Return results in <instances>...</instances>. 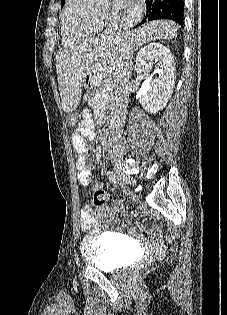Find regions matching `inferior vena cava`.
Masks as SVG:
<instances>
[{
	"label": "inferior vena cava",
	"instance_id": "inferior-vena-cava-1",
	"mask_svg": "<svg viewBox=\"0 0 227 315\" xmlns=\"http://www.w3.org/2000/svg\"><path fill=\"white\" fill-rule=\"evenodd\" d=\"M120 17L118 9L112 11L110 23L102 36L115 38L118 35L117 29ZM131 70L132 63L129 61V57L122 55L115 68L113 76V94L110 102V123L107 133L108 147L113 153L120 150L119 137L126 118Z\"/></svg>",
	"mask_w": 227,
	"mask_h": 315
}]
</instances>
